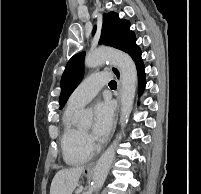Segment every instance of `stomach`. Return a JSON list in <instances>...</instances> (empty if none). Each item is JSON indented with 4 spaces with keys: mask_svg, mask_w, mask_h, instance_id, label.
<instances>
[{
    "mask_svg": "<svg viewBox=\"0 0 201 194\" xmlns=\"http://www.w3.org/2000/svg\"><path fill=\"white\" fill-rule=\"evenodd\" d=\"M87 171H88V172H87V175H89L90 172H89V170H87Z\"/></svg>",
    "mask_w": 201,
    "mask_h": 194,
    "instance_id": "obj_1",
    "label": "stomach"
}]
</instances>
